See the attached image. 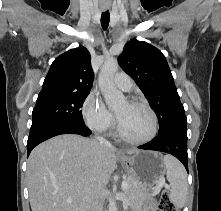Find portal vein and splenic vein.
Segmentation results:
<instances>
[{"mask_svg": "<svg viewBox=\"0 0 221 211\" xmlns=\"http://www.w3.org/2000/svg\"><path fill=\"white\" fill-rule=\"evenodd\" d=\"M164 184V181L162 180V181H158V184H157V186H156V188L154 189V192H159L160 191V187L162 186ZM122 190L125 192L126 190H127V188H128V182L126 181V180H124L123 182H122ZM68 203H71L72 202V199L71 198H68L67 200H66Z\"/></svg>", "mask_w": 221, "mask_h": 211, "instance_id": "portal-vein-and-splenic-vein-1", "label": "portal vein and splenic vein"}]
</instances>
